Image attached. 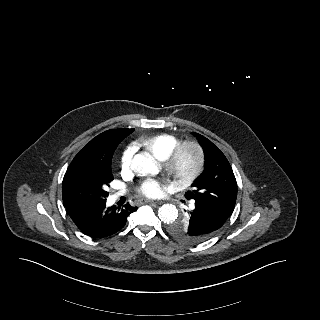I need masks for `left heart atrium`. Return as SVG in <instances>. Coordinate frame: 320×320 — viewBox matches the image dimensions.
I'll use <instances>...</instances> for the list:
<instances>
[{
    "mask_svg": "<svg viewBox=\"0 0 320 320\" xmlns=\"http://www.w3.org/2000/svg\"><path fill=\"white\" fill-rule=\"evenodd\" d=\"M138 191L143 196L159 197L163 192V184L158 180L147 179L139 185Z\"/></svg>",
    "mask_w": 320,
    "mask_h": 320,
    "instance_id": "39dd6f15",
    "label": "left heart atrium"
}]
</instances>
